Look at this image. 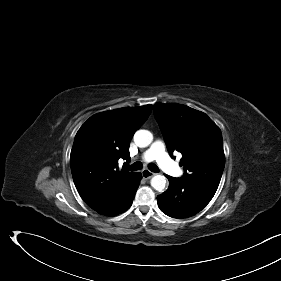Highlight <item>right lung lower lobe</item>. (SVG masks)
<instances>
[{
    "label": "right lung lower lobe",
    "mask_w": 281,
    "mask_h": 281,
    "mask_svg": "<svg viewBox=\"0 0 281 281\" xmlns=\"http://www.w3.org/2000/svg\"><path fill=\"white\" fill-rule=\"evenodd\" d=\"M142 178V175L141 173H137V176L135 178V181H134V185L132 186L131 188V192L129 193V195L127 196V198L125 199V201L122 203V205L119 207V209L113 213H110V214H106V216H114V215H117L123 211H125L126 209H128L131 204H132V201L135 197V193H136V190L140 184V180Z\"/></svg>",
    "instance_id": "98d812e1"
}]
</instances>
